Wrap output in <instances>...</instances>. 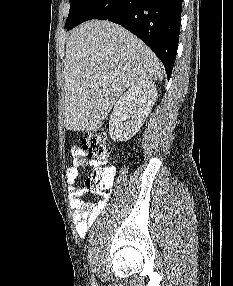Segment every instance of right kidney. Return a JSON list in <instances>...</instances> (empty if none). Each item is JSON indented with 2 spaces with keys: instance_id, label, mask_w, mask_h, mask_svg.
Wrapping results in <instances>:
<instances>
[{
  "instance_id": "1",
  "label": "right kidney",
  "mask_w": 233,
  "mask_h": 286,
  "mask_svg": "<svg viewBox=\"0 0 233 286\" xmlns=\"http://www.w3.org/2000/svg\"><path fill=\"white\" fill-rule=\"evenodd\" d=\"M157 98L152 80H142L128 89L116 102L109 121V135L114 141L133 137L148 117Z\"/></svg>"
}]
</instances>
